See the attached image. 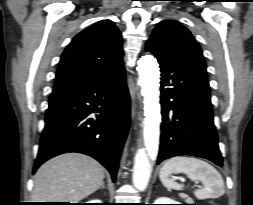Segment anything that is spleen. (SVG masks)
<instances>
[{"mask_svg": "<svg viewBox=\"0 0 253 205\" xmlns=\"http://www.w3.org/2000/svg\"><path fill=\"white\" fill-rule=\"evenodd\" d=\"M173 173H184L191 180L201 182L204 187L194 191L201 200L218 198L225 193L221 174L209 163L194 157L177 156L167 160L162 166L159 178L169 189L182 190L183 186L170 178Z\"/></svg>", "mask_w": 253, "mask_h": 205, "instance_id": "3e777b00", "label": "spleen"}]
</instances>
